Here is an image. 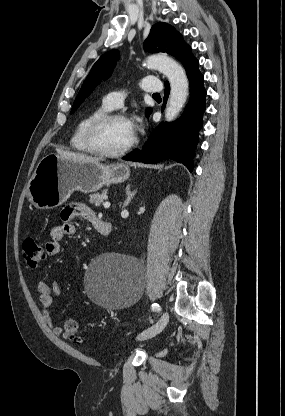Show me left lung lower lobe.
I'll list each match as a JSON object with an SVG mask.
<instances>
[{"instance_id":"1","label":"left lung lower lobe","mask_w":285,"mask_h":416,"mask_svg":"<svg viewBox=\"0 0 285 416\" xmlns=\"http://www.w3.org/2000/svg\"><path fill=\"white\" fill-rule=\"evenodd\" d=\"M198 65V60L193 58L184 66L190 82V99L183 115L175 122L159 125L142 150L137 149L124 156V160L151 164L171 159L183 163L192 171V158L198 144V132L203 125L202 115L205 111L206 97V90L203 87L204 77ZM169 92V83L165 82L164 102Z\"/></svg>"}]
</instances>
